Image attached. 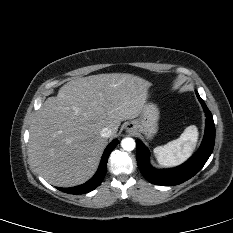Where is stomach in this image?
<instances>
[{
	"label": "stomach",
	"instance_id": "stomach-1",
	"mask_svg": "<svg viewBox=\"0 0 233 233\" xmlns=\"http://www.w3.org/2000/svg\"><path fill=\"white\" fill-rule=\"evenodd\" d=\"M159 110L153 103H146L140 117L132 120L134 130L144 133L148 139H151L158 131Z\"/></svg>",
	"mask_w": 233,
	"mask_h": 233
}]
</instances>
